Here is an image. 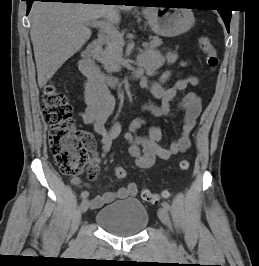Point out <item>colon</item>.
I'll use <instances>...</instances> for the list:
<instances>
[{
	"label": "colon",
	"mask_w": 259,
	"mask_h": 266,
	"mask_svg": "<svg viewBox=\"0 0 259 266\" xmlns=\"http://www.w3.org/2000/svg\"><path fill=\"white\" fill-rule=\"evenodd\" d=\"M199 47L205 54L206 65L214 70L218 65L216 49L207 37L199 38ZM42 110L49 125L48 142L55 162L62 173L75 175L83 170L89 160L88 148L93 144L92 136L77 128L72 116V106L65 94L53 84H47L41 97ZM190 162L182 159L179 162L181 170H188ZM115 176L119 179L126 177L123 167L115 168ZM167 193L155 194L143 189L141 198L150 203L158 204Z\"/></svg>",
	"instance_id": "colon-1"
}]
</instances>
